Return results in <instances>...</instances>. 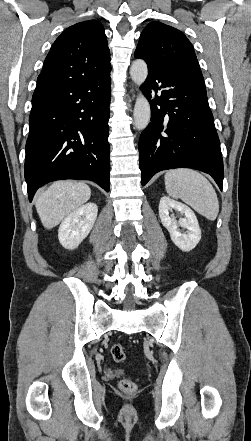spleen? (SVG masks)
Masks as SVG:
<instances>
[{
    "instance_id": "obj_1",
    "label": "spleen",
    "mask_w": 251,
    "mask_h": 441,
    "mask_svg": "<svg viewBox=\"0 0 251 441\" xmlns=\"http://www.w3.org/2000/svg\"><path fill=\"white\" fill-rule=\"evenodd\" d=\"M166 192L175 199H181L195 211L214 221L219 212V202L211 183L192 169H173L164 176Z\"/></svg>"
}]
</instances>
